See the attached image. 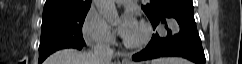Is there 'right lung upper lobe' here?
Wrapping results in <instances>:
<instances>
[{"mask_svg":"<svg viewBox=\"0 0 242 64\" xmlns=\"http://www.w3.org/2000/svg\"><path fill=\"white\" fill-rule=\"evenodd\" d=\"M91 0H46L43 14L89 10Z\"/></svg>","mask_w":242,"mask_h":64,"instance_id":"cb5924a9","label":"right lung upper lobe"}]
</instances>
